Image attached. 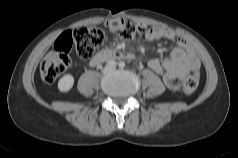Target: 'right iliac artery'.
Segmentation results:
<instances>
[{
	"instance_id": "1",
	"label": "right iliac artery",
	"mask_w": 238,
	"mask_h": 158,
	"mask_svg": "<svg viewBox=\"0 0 238 158\" xmlns=\"http://www.w3.org/2000/svg\"><path fill=\"white\" fill-rule=\"evenodd\" d=\"M108 65L111 67H116L117 63L114 60L108 62Z\"/></svg>"
}]
</instances>
